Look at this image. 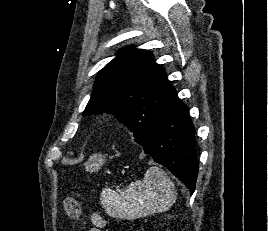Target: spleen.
I'll list each match as a JSON object with an SVG mask.
<instances>
[{
    "instance_id": "spleen-1",
    "label": "spleen",
    "mask_w": 268,
    "mask_h": 231,
    "mask_svg": "<svg viewBox=\"0 0 268 231\" xmlns=\"http://www.w3.org/2000/svg\"><path fill=\"white\" fill-rule=\"evenodd\" d=\"M176 200V190L167 174L157 166L150 167L143 180L129 184L118 193L105 188L100 201L109 216L136 219L168 210Z\"/></svg>"
}]
</instances>
